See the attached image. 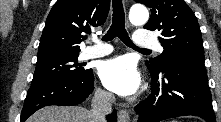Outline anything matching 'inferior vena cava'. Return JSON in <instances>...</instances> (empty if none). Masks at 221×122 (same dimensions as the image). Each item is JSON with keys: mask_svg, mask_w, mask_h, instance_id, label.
Here are the masks:
<instances>
[{"mask_svg": "<svg viewBox=\"0 0 221 122\" xmlns=\"http://www.w3.org/2000/svg\"><path fill=\"white\" fill-rule=\"evenodd\" d=\"M114 97L103 90H96L92 99L90 110L95 122H105V116L112 111Z\"/></svg>", "mask_w": 221, "mask_h": 122, "instance_id": "602c4592", "label": "inferior vena cava"}]
</instances>
